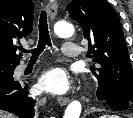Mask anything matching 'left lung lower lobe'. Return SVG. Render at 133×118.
I'll list each match as a JSON object with an SVG mask.
<instances>
[{
    "instance_id": "0a47b994",
    "label": "left lung lower lobe",
    "mask_w": 133,
    "mask_h": 118,
    "mask_svg": "<svg viewBox=\"0 0 133 118\" xmlns=\"http://www.w3.org/2000/svg\"><path fill=\"white\" fill-rule=\"evenodd\" d=\"M103 101L114 110L126 109L133 105L128 99L117 93L105 95Z\"/></svg>"
}]
</instances>
